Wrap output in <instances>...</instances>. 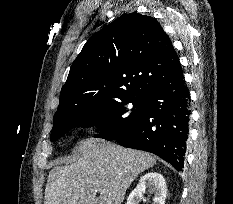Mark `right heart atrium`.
Here are the masks:
<instances>
[{
  "mask_svg": "<svg viewBox=\"0 0 233 204\" xmlns=\"http://www.w3.org/2000/svg\"><path fill=\"white\" fill-rule=\"evenodd\" d=\"M106 127V118L102 115L96 116L89 121L86 126V131L90 134H97Z\"/></svg>",
  "mask_w": 233,
  "mask_h": 204,
  "instance_id": "obj_1",
  "label": "right heart atrium"
}]
</instances>
